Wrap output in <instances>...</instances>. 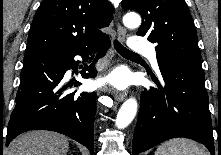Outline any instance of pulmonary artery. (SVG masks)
Returning <instances> with one entry per match:
<instances>
[{
  "instance_id": "1",
  "label": "pulmonary artery",
  "mask_w": 221,
  "mask_h": 155,
  "mask_svg": "<svg viewBox=\"0 0 221 155\" xmlns=\"http://www.w3.org/2000/svg\"><path fill=\"white\" fill-rule=\"evenodd\" d=\"M130 47L134 52L146 55L152 66L158 70L156 51L148 41L141 37L135 36L131 39Z\"/></svg>"
}]
</instances>
